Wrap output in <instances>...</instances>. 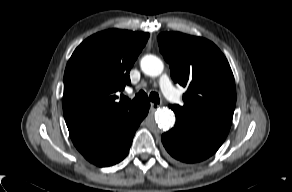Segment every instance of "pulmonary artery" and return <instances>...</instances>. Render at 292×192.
<instances>
[{
	"label": "pulmonary artery",
	"instance_id": "obj_1",
	"mask_svg": "<svg viewBox=\"0 0 292 192\" xmlns=\"http://www.w3.org/2000/svg\"><path fill=\"white\" fill-rule=\"evenodd\" d=\"M159 86L164 96L171 102H178L179 96L171 84V81L167 75H162L159 79Z\"/></svg>",
	"mask_w": 292,
	"mask_h": 192
}]
</instances>
